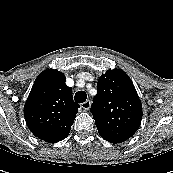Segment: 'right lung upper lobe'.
<instances>
[{"label": "right lung upper lobe", "instance_id": "1", "mask_svg": "<svg viewBox=\"0 0 173 173\" xmlns=\"http://www.w3.org/2000/svg\"><path fill=\"white\" fill-rule=\"evenodd\" d=\"M66 77L54 69L43 71L35 80L24 106L30 131L48 143L63 140L70 132L80 107L75 104Z\"/></svg>", "mask_w": 173, "mask_h": 173}]
</instances>
